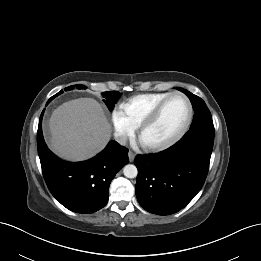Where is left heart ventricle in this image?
Wrapping results in <instances>:
<instances>
[{
	"instance_id": "1",
	"label": "left heart ventricle",
	"mask_w": 261,
	"mask_h": 261,
	"mask_svg": "<svg viewBox=\"0 0 261 261\" xmlns=\"http://www.w3.org/2000/svg\"><path fill=\"white\" fill-rule=\"evenodd\" d=\"M187 105L181 97L171 98L161 110L155 122L142 134L144 143L164 142L173 137L184 125Z\"/></svg>"
}]
</instances>
